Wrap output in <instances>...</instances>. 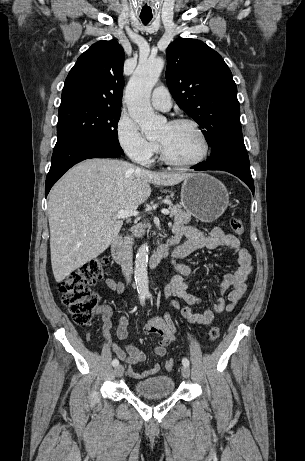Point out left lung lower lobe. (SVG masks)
Masks as SVG:
<instances>
[{
    "mask_svg": "<svg viewBox=\"0 0 305 461\" xmlns=\"http://www.w3.org/2000/svg\"><path fill=\"white\" fill-rule=\"evenodd\" d=\"M192 168L196 171L222 170L232 173L245 182L254 194V182L241 130L226 135L221 151L215 159H208Z\"/></svg>",
    "mask_w": 305,
    "mask_h": 461,
    "instance_id": "left-lung-lower-lobe-1",
    "label": "left lung lower lobe"
}]
</instances>
